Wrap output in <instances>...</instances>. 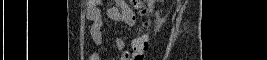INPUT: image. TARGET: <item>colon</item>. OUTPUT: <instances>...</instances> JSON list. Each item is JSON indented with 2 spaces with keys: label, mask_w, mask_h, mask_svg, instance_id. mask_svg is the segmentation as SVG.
<instances>
[{
  "label": "colon",
  "mask_w": 267,
  "mask_h": 60,
  "mask_svg": "<svg viewBox=\"0 0 267 60\" xmlns=\"http://www.w3.org/2000/svg\"><path fill=\"white\" fill-rule=\"evenodd\" d=\"M134 4H137L136 1H134ZM137 9H140L139 6H137ZM146 10H143L145 12ZM133 52L132 57L136 60H143L145 53L148 51L149 48V39L146 34H140L136 36L133 40Z\"/></svg>",
  "instance_id": "colon-1"
}]
</instances>
